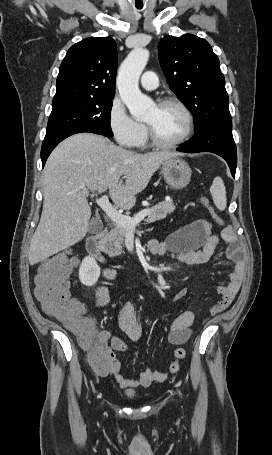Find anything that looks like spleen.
<instances>
[{"instance_id": "3e777b00", "label": "spleen", "mask_w": 272, "mask_h": 455, "mask_svg": "<svg viewBox=\"0 0 272 455\" xmlns=\"http://www.w3.org/2000/svg\"><path fill=\"white\" fill-rule=\"evenodd\" d=\"M210 193L215 206L224 211L227 206L226 189L221 177H215L210 187Z\"/></svg>"}]
</instances>
